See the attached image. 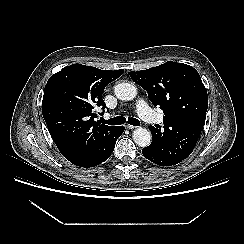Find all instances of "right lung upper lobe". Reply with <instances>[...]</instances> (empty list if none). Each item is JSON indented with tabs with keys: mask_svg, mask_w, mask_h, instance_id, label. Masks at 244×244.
<instances>
[{
	"mask_svg": "<svg viewBox=\"0 0 244 244\" xmlns=\"http://www.w3.org/2000/svg\"><path fill=\"white\" fill-rule=\"evenodd\" d=\"M123 72L73 64L49 78L42 113L51 137L67 160L96 153L112 135L116 127L96 123L94 108L106 107L102 93Z\"/></svg>",
	"mask_w": 244,
	"mask_h": 244,
	"instance_id": "cb5924a9",
	"label": "right lung upper lobe"
}]
</instances>
